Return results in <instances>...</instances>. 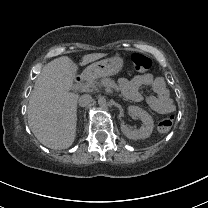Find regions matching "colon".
Listing matches in <instances>:
<instances>
[{"label":"colon","mask_w":208,"mask_h":208,"mask_svg":"<svg viewBox=\"0 0 208 208\" xmlns=\"http://www.w3.org/2000/svg\"><path fill=\"white\" fill-rule=\"evenodd\" d=\"M132 67L137 72H146L152 67V59L144 53L134 52L130 56ZM174 124V117L166 115L158 122V129L161 132L169 131Z\"/></svg>","instance_id":"colon-1"}]
</instances>
